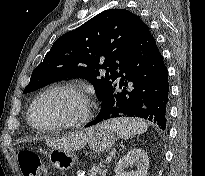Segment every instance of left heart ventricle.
I'll return each instance as SVG.
<instances>
[{
	"mask_svg": "<svg viewBox=\"0 0 205 176\" xmlns=\"http://www.w3.org/2000/svg\"><path fill=\"white\" fill-rule=\"evenodd\" d=\"M82 104L74 95L67 92H54L38 102L34 111L37 125L48 126L74 120L82 113Z\"/></svg>",
	"mask_w": 205,
	"mask_h": 176,
	"instance_id": "obj_1",
	"label": "left heart ventricle"
}]
</instances>
